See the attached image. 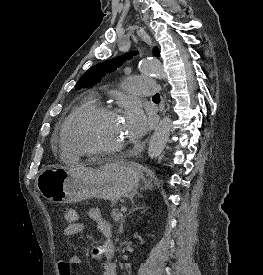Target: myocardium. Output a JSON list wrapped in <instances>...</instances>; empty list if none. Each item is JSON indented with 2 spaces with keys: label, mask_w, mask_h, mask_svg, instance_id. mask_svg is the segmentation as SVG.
<instances>
[{
  "label": "myocardium",
  "mask_w": 263,
  "mask_h": 275,
  "mask_svg": "<svg viewBox=\"0 0 263 275\" xmlns=\"http://www.w3.org/2000/svg\"><path fill=\"white\" fill-rule=\"evenodd\" d=\"M100 114H107V115H112V116H118V112L108 106V105H103V104H95L91 106L90 108L86 109L83 111L81 114H79L76 119L74 120L69 134L67 135V139L72 146V148L77 152L78 155H84V156H110V155H115L123 152L126 149V143L121 144L119 146L113 147V148H108V149H98V150H93V149H87L82 146H80L76 139V132L80 125L86 121L87 119L100 115Z\"/></svg>",
  "instance_id": "f54148a6"
}]
</instances>
